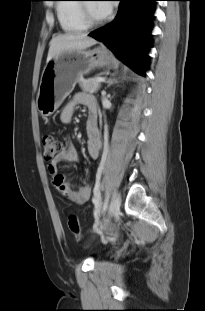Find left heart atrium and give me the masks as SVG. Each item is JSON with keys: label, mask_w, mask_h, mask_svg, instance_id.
Here are the masks:
<instances>
[{"label": "left heart atrium", "mask_w": 205, "mask_h": 311, "mask_svg": "<svg viewBox=\"0 0 205 311\" xmlns=\"http://www.w3.org/2000/svg\"><path fill=\"white\" fill-rule=\"evenodd\" d=\"M100 2H112V1H100ZM98 9L103 16H107L113 9L112 4L98 3Z\"/></svg>", "instance_id": "39dd6f15"}]
</instances>
